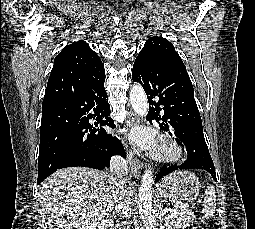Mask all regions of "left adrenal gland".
Wrapping results in <instances>:
<instances>
[{"mask_svg": "<svg viewBox=\"0 0 255 229\" xmlns=\"http://www.w3.org/2000/svg\"><path fill=\"white\" fill-rule=\"evenodd\" d=\"M159 208H160V211H161V210H162V207H161V205H160V207H159Z\"/></svg>", "mask_w": 255, "mask_h": 229, "instance_id": "a2214340", "label": "left adrenal gland"}]
</instances>
